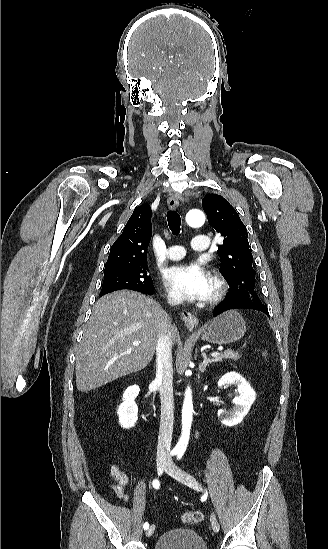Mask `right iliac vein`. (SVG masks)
Masks as SVG:
<instances>
[{
	"mask_svg": "<svg viewBox=\"0 0 328 549\" xmlns=\"http://www.w3.org/2000/svg\"><path fill=\"white\" fill-rule=\"evenodd\" d=\"M165 466H166V462L164 460H159V462L157 463V471L160 475L164 472ZM154 530H155V526L151 525L146 531V536L147 537L151 536L154 533Z\"/></svg>",
	"mask_w": 328,
	"mask_h": 549,
	"instance_id": "63e3f726",
	"label": "right iliac vein"
}]
</instances>
